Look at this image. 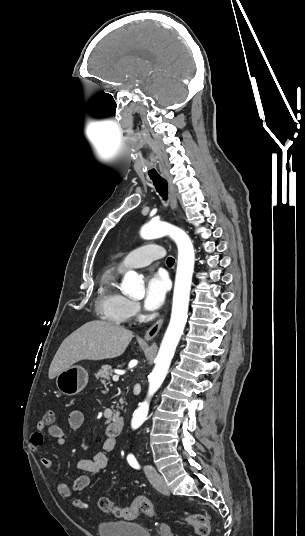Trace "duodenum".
I'll list each match as a JSON object with an SVG mask.
<instances>
[{
	"label": "duodenum",
	"instance_id": "1",
	"mask_svg": "<svg viewBox=\"0 0 305 536\" xmlns=\"http://www.w3.org/2000/svg\"><path fill=\"white\" fill-rule=\"evenodd\" d=\"M125 422L121 417L115 418L111 423L106 426L107 436L113 438L122 434L124 430Z\"/></svg>",
	"mask_w": 305,
	"mask_h": 536
}]
</instances>
